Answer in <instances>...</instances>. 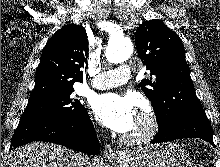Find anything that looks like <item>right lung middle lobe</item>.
<instances>
[{"label":"right lung middle lobe","mask_w":220,"mask_h":167,"mask_svg":"<svg viewBox=\"0 0 220 167\" xmlns=\"http://www.w3.org/2000/svg\"><path fill=\"white\" fill-rule=\"evenodd\" d=\"M74 89L29 99L20 121L43 117L69 118L80 113L84 106L72 96Z\"/></svg>","instance_id":"obj_1"}]
</instances>
